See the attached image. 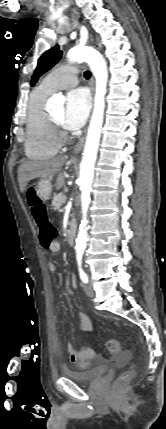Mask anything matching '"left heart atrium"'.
I'll return each instance as SVG.
<instances>
[{"instance_id": "left-heart-atrium-1", "label": "left heart atrium", "mask_w": 166, "mask_h": 429, "mask_svg": "<svg viewBox=\"0 0 166 429\" xmlns=\"http://www.w3.org/2000/svg\"><path fill=\"white\" fill-rule=\"evenodd\" d=\"M91 108L89 92L82 87L67 93L62 125L68 130L79 129L86 121Z\"/></svg>"}]
</instances>
